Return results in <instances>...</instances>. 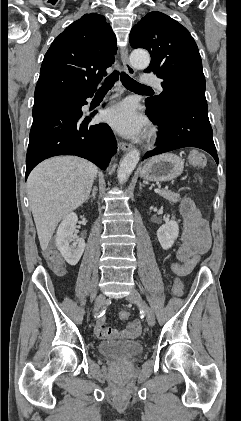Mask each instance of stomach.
Returning <instances> with one entry per match:
<instances>
[{
	"mask_svg": "<svg viewBox=\"0 0 241 421\" xmlns=\"http://www.w3.org/2000/svg\"><path fill=\"white\" fill-rule=\"evenodd\" d=\"M184 169L183 160L172 153L155 156L146 161L140 169V177L148 181H170Z\"/></svg>",
	"mask_w": 241,
	"mask_h": 421,
	"instance_id": "0dacf381",
	"label": "stomach"
}]
</instances>
